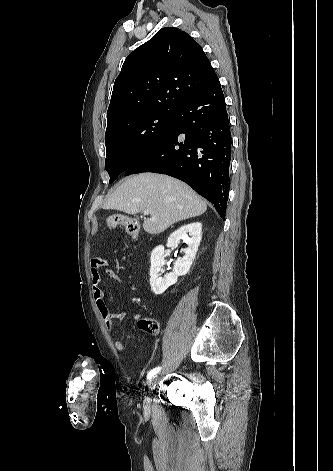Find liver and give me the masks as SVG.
<instances>
[{"instance_id": "obj_1", "label": "liver", "mask_w": 333, "mask_h": 471, "mask_svg": "<svg viewBox=\"0 0 333 471\" xmlns=\"http://www.w3.org/2000/svg\"><path fill=\"white\" fill-rule=\"evenodd\" d=\"M104 209L137 214L148 210L143 222L147 233L159 234L179 221L207 210L206 202L187 184L173 177L141 173L123 182L108 197Z\"/></svg>"}]
</instances>
